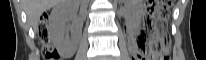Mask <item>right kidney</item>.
Wrapping results in <instances>:
<instances>
[{"label": "right kidney", "mask_w": 206, "mask_h": 60, "mask_svg": "<svg viewBox=\"0 0 206 60\" xmlns=\"http://www.w3.org/2000/svg\"><path fill=\"white\" fill-rule=\"evenodd\" d=\"M76 8L71 2H64L57 5L50 16L51 34L54 43L59 49L67 50L74 48L80 34L81 25L74 17ZM72 21V25H69ZM73 32V36H68V31Z\"/></svg>", "instance_id": "obj_1"}]
</instances>
